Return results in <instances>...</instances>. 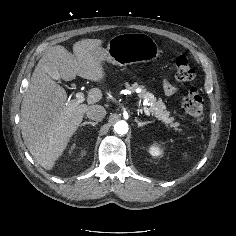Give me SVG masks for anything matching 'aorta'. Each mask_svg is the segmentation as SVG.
<instances>
[{
    "label": "aorta",
    "instance_id": "obj_1",
    "mask_svg": "<svg viewBox=\"0 0 236 236\" xmlns=\"http://www.w3.org/2000/svg\"><path fill=\"white\" fill-rule=\"evenodd\" d=\"M114 131L119 135H124L128 132V124L125 121H118L114 125Z\"/></svg>",
    "mask_w": 236,
    "mask_h": 236
}]
</instances>
